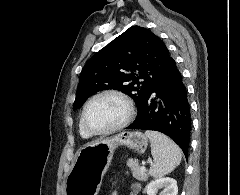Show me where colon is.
<instances>
[{
    "label": "colon",
    "mask_w": 240,
    "mask_h": 195,
    "mask_svg": "<svg viewBox=\"0 0 240 195\" xmlns=\"http://www.w3.org/2000/svg\"><path fill=\"white\" fill-rule=\"evenodd\" d=\"M116 192H111V195H115Z\"/></svg>",
    "instance_id": "1"
}]
</instances>
